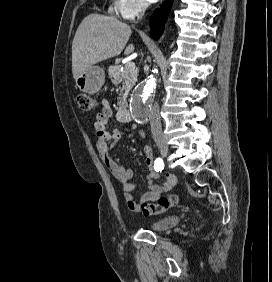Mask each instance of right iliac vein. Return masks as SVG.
I'll list each match as a JSON object with an SVG mask.
<instances>
[{"label": "right iliac vein", "instance_id": "1", "mask_svg": "<svg viewBox=\"0 0 272 282\" xmlns=\"http://www.w3.org/2000/svg\"><path fill=\"white\" fill-rule=\"evenodd\" d=\"M156 144L162 157H167L169 154V148L166 141L159 140L156 142Z\"/></svg>", "mask_w": 272, "mask_h": 282}]
</instances>
